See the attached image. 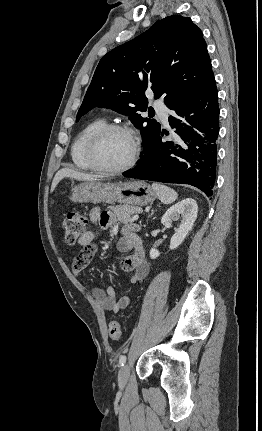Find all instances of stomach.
<instances>
[{
    "instance_id": "stomach-1",
    "label": "stomach",
    "mask_w": 262,
    "mask_h": 431,
    "mask_svg": "<svg viewBox=\"0 0 262 431\" xmlns=\"http://www.w3.org/2000/svg\"><path fill=\"white\" fill-rule=\"evenodd\" d=\"M156 198L154 189L144 181L104 183L100 180L86 181L72 189L70 200L83 202H119L127 206H142Z\"/></svg>"
}]
</instances>
